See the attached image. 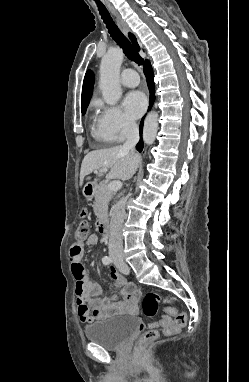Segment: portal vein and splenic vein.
I'll return each instance as SVG.
<instances>
[{"instance_id":"18ae733b","label":"portal vein and splenic vein","mask_w":249,"mask_h":382,"mask_svg":"<svg viewBox=\"0 0 249 382\" xmlns=\"http://www.w3.org/2000/svg\"><path fill=\"white\" fill-rule=\"evenodd\" d=\"M99 172H107V169H101ZM94 173H98V171H94ZM108 189L111 191H116L122 187V183L119 180L111 181L108 185Z\"/></svg>"}]
</instances>
